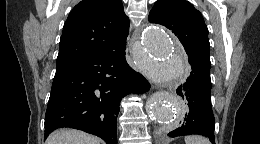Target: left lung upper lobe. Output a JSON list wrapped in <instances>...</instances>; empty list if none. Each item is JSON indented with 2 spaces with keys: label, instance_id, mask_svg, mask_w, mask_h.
Listing matches in <instances>:
<instances>
[{
  "label": "left lung upper lobe",
  "instance_id": "5c2ea615",
  "mask_svg": "<svg viewBox=\"0 0 260 144\" xmlns=\"http://www.w3.org/2000/svg\"><path fill=\"white\" fill-rule=\"evenodd\" d=\"M148 20L170 29L182 43L189 59L211 65L208 29L203 16L191 3L185 0H157Z\"/></svg>",
  "mask_w": 260,
  "mask_h": 144
}]
</instances>
